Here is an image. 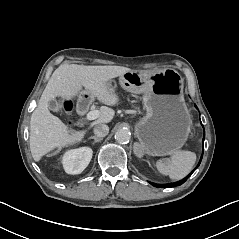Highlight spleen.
I'll use <instances>...</instances> for the list:
<instances>
[{
  "instance_id": "1",
  "label": "spleen",
  "mask_w": 239,
  "mask_h": 239,
  "mask_svg": "<svg viewBox=\"0 0 239 239\" xmlns=\"http://www.w3.org/2000/svg\"><path fill=\"white\" fill-rule=\"evenodd\" d=\"M196 161V155L190 151H179L167 161L159 160L155 167L163 175L173 180H180L190 173Z\"/></svg>"
}]
</instances>
